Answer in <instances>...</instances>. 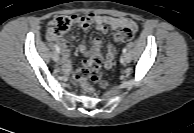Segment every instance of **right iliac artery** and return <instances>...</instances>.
<instances>
[{"instance_id":"obj_1","label":"right iliac artery","mask_w":194,"mask_h":133,"mask_svg":"<svg viewBox=\"0 0 194 133\" xmlns=\"http://www.w3.org/2000/svg\"><path fill=\"white\" fill-rule=\"evenodd\" d=\"M54 47H55L56 52H57V53H60V48H59V46H58L57 44H55Z\"/></svg>"}]
</instances>
